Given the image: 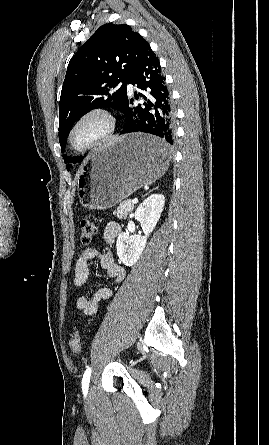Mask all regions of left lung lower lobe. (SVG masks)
<instances>
[{
	"label": "left lung lower lobe",
	"instance_id": "left-lung-lower-lobe-1",
	"mask_svg": "<svg viewBox=\"0 0 269 445\" xmlns=\"http://www.w3.org/2000/svg\"><path fill=\"white\" fill-rule=\"evenodd\" d=\"M128 84L136 85L142 92H135L136 99L143 104L134 105L127 97L123 114L126 124L121 134L143 132L157 136V140L144 146L150 155H162L171 152L175 137V110L172 99L161 74L158 57L149 46L137 67L132 72Z\"/></svg>",
	"mask_w": 269,
	"mask_h": 445
}]
</instances>
